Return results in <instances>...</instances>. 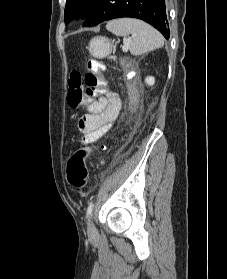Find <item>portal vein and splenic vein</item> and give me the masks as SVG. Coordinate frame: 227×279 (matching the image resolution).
<instances>
[{"label": "portal vein and splenic vein", "instance_id": "1", "mask_svg": "<svg viewBox=\"0 0 227 279\" xmlns=\"http://www.w3.org/2000/svg\"><path fill=\"white\" fill-rule=\"evenodd\" d=\"M129 41H130V39L126 40L125 43H124V45L122 46V50H123L124 52H127V51H128Z\"/></svg>", "mask_w": 227, "mask_h": 279}]
</instances>
